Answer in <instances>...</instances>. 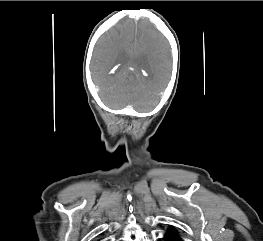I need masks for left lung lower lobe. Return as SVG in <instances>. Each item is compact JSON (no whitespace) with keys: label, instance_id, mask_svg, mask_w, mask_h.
Masks as SVG:
<instances>
[{"label":"left lung lower lobe","instance_id":"0a47b994","mask_svg":"<svg viewBox=\"0 0 263 241\" xmlns=\"http://www.w3.org/2000/svg\"><path fill=\"white\" fill-rule=\"evenodd\" d=\"M166 241H183L179 235L177 230L174 227H170L165 234Z\"/></svg>","mask_w":263,"mask_h":241}]
</instances>
